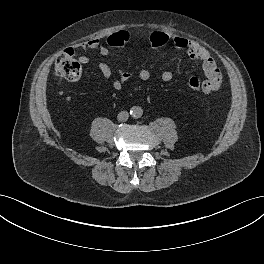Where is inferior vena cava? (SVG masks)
Wrapping results in <instances>:
<instances>
[{"label": "inferior vena cava", "instance_id": "inferior-vena-cava-1", "mask_svg": "<svg viewBox=\"0 0 264 264\" xmlns=\"http://www.w3.org/2000/svg\"><path fill=\"white\" fill-rule=\"evenodd\" d=\"M128 117H129V114L127 111H121L118 116H117V119L119 121H127L128 120Z\"/></svg>", "mask_w": 264, "mask_h": 264}]
</instances>
